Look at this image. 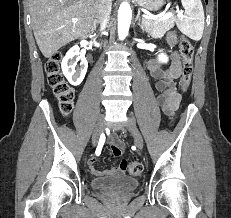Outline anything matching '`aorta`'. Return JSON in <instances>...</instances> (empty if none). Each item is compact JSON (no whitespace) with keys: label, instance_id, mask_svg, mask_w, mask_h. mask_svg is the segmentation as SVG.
<instances>
[{"label":"aorta","instance_id":"aorta-1","mask_svg":"<svg viewBox=\"0 0 231 218\" xmlns=\"http://www.w3.org/2000/svg\"><path fill=\"white\" fill-rule=\"evenodd\" d=\"M131 17L130 5L127 2H123L118 10V36L120 40L125 39L128 35Z\"/></svg>","mask_w":231,"mask_h":218}]
</instances>
